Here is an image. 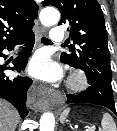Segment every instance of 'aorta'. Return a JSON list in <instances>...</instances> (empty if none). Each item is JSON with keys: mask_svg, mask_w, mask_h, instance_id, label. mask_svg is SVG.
<instances>
[{"mask_svg": "<svg viewBox=\"0 0 117 131\" xmlns=\"http://www.w3.org/2000/svg\"><path fill=\"white\" fill-rule=\"evenodd\" d=\"M39 19L41 23L50 27L58 23L60 20V13L57 9L48 7L41 10L39 14ZM55 127V118L54 115L50 112H45L40 118V131H54Z\"/></svg>", "mask_w": 117, "mask_h": 131, "instance_id": "762f6f07", "label": "aorta"}]
</instances>
